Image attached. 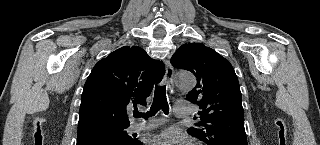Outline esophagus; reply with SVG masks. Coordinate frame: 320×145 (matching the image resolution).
<instances>
[{
    "label": "esophagus",
    "mask_w": 320,
    "mask_h": 145,
    "mask_svg": "<svg viewBox=\"0 0 320 145\" xmlns=\"http://www.w3.org/2000/svg\"><path fill=\"white\" fill-rule=\"evenodd\" d=\"M165 65H166L165 80H166L169 91L173 93L174 92V83H173L174 70L169 61H166Z\"/></svg>",
    "instance_id": "1"
}]
</instances>
